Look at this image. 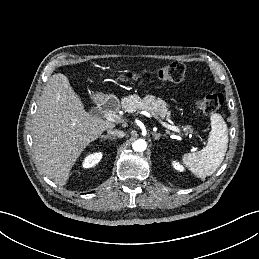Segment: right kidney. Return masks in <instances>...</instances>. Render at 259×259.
<instances>
[{"label":"right kidney","instance_id":"obj_1","mask_svg":"<svg viewBox=\"0 0 259 259\" xmlns=\"http://www.w3.org/2000/svg\"><path fill=\"white\" fill-rule=\"evenodd\" d=\"M102 158V153L101 152H96L93 154H89L86 156L83 160V167L84 168H91L94 167Z\"/></svg>","mask_w":259,"mask_h":259}]
</instances>
